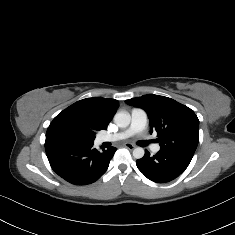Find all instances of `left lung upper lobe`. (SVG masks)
Instances as JSON below:
<instances>
[{"mask_svg": "<svg viewBox=\"0 0 235 235\" xmlns=\"http://www.w3.org/2000/svg\"><path fill=\"white\" fill-rule=\"evenodd\" d=\"M144 109L150 119V133L157 131V142L169 152L192 158L199 141V120L194 111L164 96L147 94L125 101Z\"/></svg>", "mask_w": 235, "mask_h": 235, "instance_id": "left-lung-upper-lobe-1", "label": "left lung upper lobe"}]
</instances>
